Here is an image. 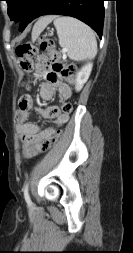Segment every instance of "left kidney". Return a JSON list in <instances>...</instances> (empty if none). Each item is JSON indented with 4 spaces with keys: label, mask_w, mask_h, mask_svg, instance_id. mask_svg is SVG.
Masks as SVG:
<instances>
[{
    "label": "left kidney",
    "mask_w": 133,
    "mask_h": 253,
    "mask_svg": "<svg viewBox=\"0 0 133 253\" xmlns=\"http://www.w3.org/2000/svg\"><path fill=\"white\" fill-rule=\"evenodd\" d=\"M92 70V64L84 66L76 75V90L82 89L83 85L87 82Z\"/></svg>",
    "instance_id": "1"
}]
</instances>
